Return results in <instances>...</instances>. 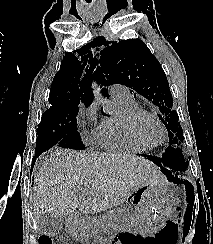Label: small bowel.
<instances>
[{"mask_svg":"<svg viewBox=\"0 0 213 244\" xmlns=\"http://www.w3.org/2000/svg\"><path fill=\"white\" fill-rule=\"evenodd\" d=\"M115 244H125V241L120 238L118 241L115 242Z\"/></svg>","mask_w":213,"mask_h":244,"instance_id":"1","label":"small bowel"}]
</instances>
